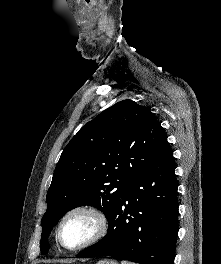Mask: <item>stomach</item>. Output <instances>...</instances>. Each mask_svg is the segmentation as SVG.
I'll list each match as a JSON object with an SVG mask.
<instances>
[{
  "label": "stomach",
  "mask_w": 221,
  "mask_h": 264,
  "mask_svg": "<svg viewBox=\"0 0 221 264\" xmlns=\"http://www.w3.org/2000/svg\"><path fill=\"white\" fill-rule=\"evenodd\" d=\"M97 264H118L115 260L104 259L99 261Z\"/></svg>",
  "instance_id": "stomach-1"
}]
</instances>
